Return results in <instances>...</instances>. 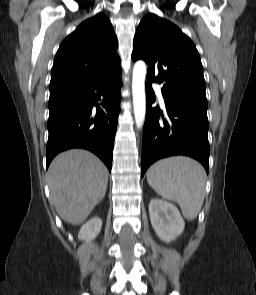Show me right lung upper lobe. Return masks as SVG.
I'll return each mask as SVG.
<instances>
[{
	"mask_svg": "<svg viewBox=\"0 0 256 295\" xmlns=\"http://www.w3.org/2000/svg\"><path fill=\"white\" fill-rule=\"evenodd\" d=\"M121 70L117 38L108 17L99 13L82 22L61 43L51 70L50 92Z\"/></svg>",
	"mask_w": 256,
	"mask_h": 295,
	"instance_id": "obj_1",
	"label": "right lung upper lobe"
}]
</instances>
